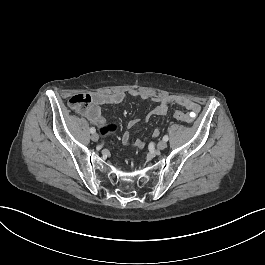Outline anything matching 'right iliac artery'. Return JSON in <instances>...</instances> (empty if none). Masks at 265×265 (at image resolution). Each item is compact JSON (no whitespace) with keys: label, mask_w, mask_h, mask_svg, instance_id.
<instances>
[{"label":"right iliac artery","mask_w":265,"mask_h":265,"mask_svg":"<svg viewBox=\"0 0 265 265\" xmlns=\"http://www.w3.org/2000/svg\"><path fill=\"white\" fill-rule=\"evenodd\" d=\"M90 132L95 133L96 132L95 128L94 127L90 128Z\"/></svg>","instance_id":"obj_1"}]
</instances>
